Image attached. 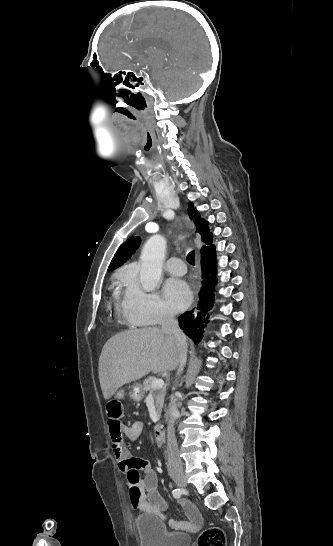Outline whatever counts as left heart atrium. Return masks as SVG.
I'll return each mask as SVG.
<instances>
[{
  "instance_id": "39dd6f15",
  "label": "left heart atrium",
  "mask_w": 333,
  "mask_h": 546,
  "mask_svg": "<svg viewBox=\"0 0 333 546\" xmlns=\"http://www.w3.org/2000/svg\"><path fill=\"white\" fill-rule=\"evenodd\" d=\"M164 295L169 307L176 312L184 310L192 299L191 291L186 282L175 278L166 282Z\"/></svg>"
}]
</instances>
